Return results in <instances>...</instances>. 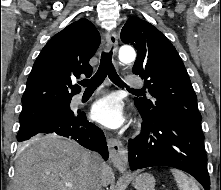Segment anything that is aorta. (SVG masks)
<instances>
[{
  "label": "aorta",
  "instance_id": "aorta-1",
  "mask_svg": "<svg viewBox=\"0 0 221 190\" xmlns=\"http://www.w3.org/2000/svg\"><path fill=\"white\" fill-rule=\"evenodd\" d=\"M136 58L135 50L128 45H124L119 49V60L123 63L133 62Z\"/></svg>",
  "mask_w": 221,
  "mask_h": 190
}]
</instances>
